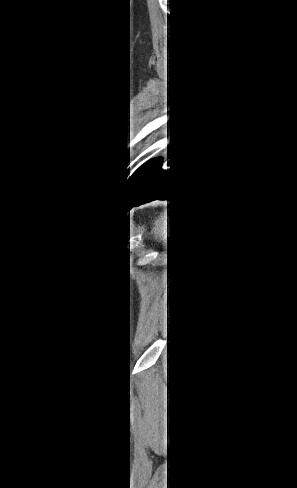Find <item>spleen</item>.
<instances>
[{
    "instance_id": "spleen-1",
    "label": "spleen",
    "mask_w": 297,
    "mask_h": 488,
    "mask_svg": "<svg viewBox=\"0 0 297 488\" xmlns=\"http://www.w3.org/2000/svg\"><path fill=\"white\" fill-rule=\"evenodd\" d=\"M160 221H161V220H160ZM160 221H159V220H156V221H155L154 233H155L156 235H159L160 233L163 235V231H164V218H162V221H161L162 223H161ZM160 223L162 224V225H161V228L159 227V226H160V225H159ZM159 228L161 229V232H160V229H159ZM159 232H160V233H159Z\"/></svg>"
}]
</instances>
